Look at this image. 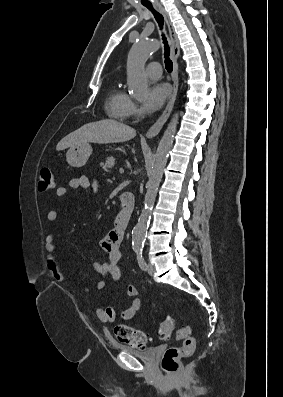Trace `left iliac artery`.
<instances>
[{
	"instance_id": "1",
	"label": "left iliac artery",
	"mask_w": 283,
	"mask_h": 397,
	"mask_svg": "<svg viewBox=\"0 0 283 397\" xmlns=\"http://www.w3.org/2000/svg\"><path fill=\"white\" fill-rule=\"evenodd\" d=\"M136 254H137V261H138L139 267L144 271L147 270V265H146L143 255H142V251H136Z\"/></svg>"
}]
</instances>
